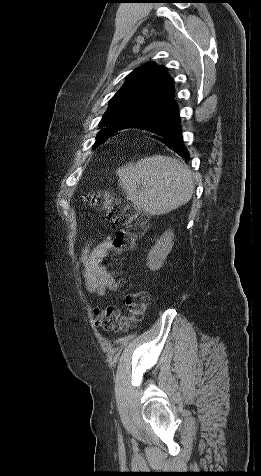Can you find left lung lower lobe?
Listing matches in <instances>:
<instances>
[{"label":"left lung lower lobe","mask_w":261,"mask_h":476,"mask_svg":"<svg viewBox=\"0 0 261 476\" xmlns=\"http://www.w3.org/2000/svg\"><path fill=\"white\" fill-rule=\"evenodd\" d=\"M126 128H141L154 133L153 138L163 143L167 148L176 152L186 160L190 155L186 150L182 136L179 110L177 105L170 111L155 117H147L140 121H134L122 127L114 128L105 133L103 140L112 136L113 133ZM101 143V141H100Z\"/></svg>","instance_id":"obj_1"}]
</instances>
